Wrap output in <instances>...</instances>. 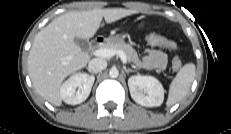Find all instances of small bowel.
I'll use <instances>...</instances> for the list:
<instances>
[{"mask_svg": "<svg viewBox=\"0 0 231 134\" xmlns=\"http://www.w3.org/2000/svg\"><path fill=\"white\" fill-rule=\"evenodd\" d=\"M134 62L145 69H164L167 65V55L158 48H150L142 57L133 55Z\"/></svg>", "mask_w": 231, "mask_h": 134, "instance_id": "1", "label": "small bowel"}]
</instances>
